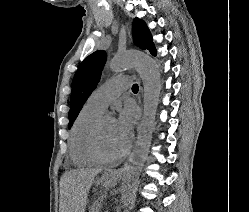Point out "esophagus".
Masks as SVG:
<instances>
[{"label": "esophagus", "instance_id": "34e87169", "mask_svg": "<svg viewBox=\"0 0 249 212\" xmlns=\"http://www.w3.org/2000/svg\"><path fill=\"white\" fill-rule=\"evenodd\" d=\"M120 174H121V172H118V171L113 172V175H120Z\"/></svg>", "mask_w": 249, "mask_h": 212}]
</instances>
